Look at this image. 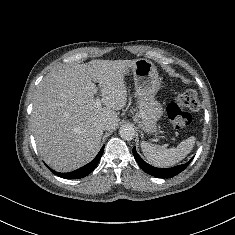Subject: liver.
<instances>
[{"mask_svg":"<svg viewBox=\"0 0 235 235\" xmlns=\"http://www.w3.org/2000/svg\"><path fill=\"white\" fill-rule=\"evenodd\" d=\"M136 60H91L66 65L48 73L37 86L31 126L38 150L53 169L69 172L89 163L97 154L102 123L114 130L116 111L127 102L125 75ZM98 83L104 108H96Z\"/></svg>","mask_w":235,"mask_h":235,"instance_id":"obj_1","label":"liver"}]
</instances>
